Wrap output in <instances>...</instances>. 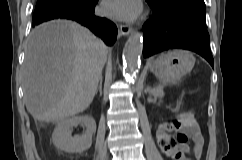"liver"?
Wrapping results in <instances>:
<instances>
[{"label": "liver", "instance_id": "obj_1", "mask_svg": "<svg viewBox=\"0 0 242 160\" xmlns=\"http://www.w3.org/2000/svg\"><path fill=\"white\" fill-rule=\"evenodd\" d=\"M108 47L88 29L67 20L45 23L28 40L24 99L34 120L61 122L92 103Z\"/></svg>", "mask_w": 242, "mask_h": 160}]
</instances>
